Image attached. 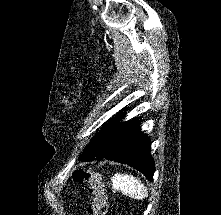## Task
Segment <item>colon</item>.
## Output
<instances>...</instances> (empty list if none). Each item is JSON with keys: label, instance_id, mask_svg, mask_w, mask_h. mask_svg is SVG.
<instances>
[{"label": "colon", "instance_id": "colon-1", "mask_svg": "<svg viewBox=\"0 0 221 215\" xmlns=\"http://www.w3.org/2000/svg\"><path fill=\"white\" fill-rule=\"evenodd\" d=\"M73 178L76 182L88 186L91 203L89 206L90 215H107L108 201L105 186L102 182L101 175L97 172L85 168L77 169Z\"/></svg>", "mask_w": 221, "mask_h": 215}]
</instances>
